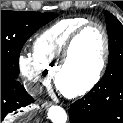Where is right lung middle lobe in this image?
I'll return each instance as SVG.
<instances>
[{
    "mask_svg": "<svg viewBox=\"0 0 123 123\" xmlns=\"http://www.w3.org/2000/svg\"><path fill=\"white\" fill-rule=\"evenodd\" d=\"M56 17L51 12L1 11V79L17 80L19 55L26 40Z\"/></svg>",
    "mask_w": 123,
    "mask_h": 123,
    "instance_id": "right-lung-middle-lobe-1",
    "label": "right lung middle lobe"
}]
</instances>
